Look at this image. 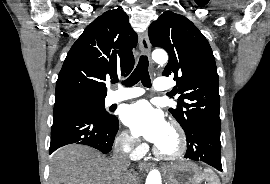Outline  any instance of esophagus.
I'll list each match as a JSON object with an SVG mask.
<instances>
[{
    "mask_svg": "<svg viewBox=\"0 0 270 184\" xmlns=\"http://www.w3.org/2000/svg\"><path fill=\"white\" fill-rule=\"evenodd\" d=\"M139 49L142 54L144 55H150L151 46L148 38V33L145 31L140 35L139 40ZM141 170H148L151 167V164L148 162H141L139 165Z\"/></svg>",
    "mask_w": 270,
    "mask_h": 184,
    "instance_id": "34e87169",
    "label": "esophagus"
}]
</instances>
